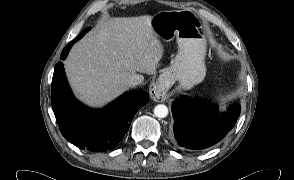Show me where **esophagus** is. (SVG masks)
Instances as JSON below:
<instances>
[{
  "label": "esophagus",
  "instance_id": "1",
  "mask_svg": "<svg viewBox=\"0 0 294 180\" xmlns=\"http://www.w3.org/2000/svg\"><path fill=\"white\" fill-rule=\"evenodd\" d=\"M171 82L170 75L163 74L156 82L149 86V94L155 102H163L166 99V92Z\"/></svg>",
  "mask_w": 294,
  "mask_h": 180
}]
</instances>
